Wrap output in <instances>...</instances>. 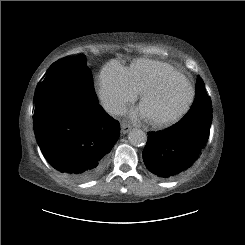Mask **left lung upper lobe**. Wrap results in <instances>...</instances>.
Segmentation results:
<instances>
[{
	"label": "left lung upper lobe",
	"mask_w": 245,
	"mask_h": 245,
	"mask_svg": "<svg viewBox=\"0 0 245 245\" xmlns=\"http://www.w3.org/2000/svg\"><path fill=\"white\" fill-rule=\"evenodd\" d=\"M199 81H201V79L198 77L197 78V83ZM205 93L207 94V92H205ZM198 96H200V95H198ZM206 100L207 99H204V101H206ZM199 101H200V99L195 97V100H194L190 110L179 121V123L188 124V123H192V122H202L204 119H206V117H204V116H209L210 117V112L211 111L210 110H206L205 108L203 109V106L201 104L197 105ZM205 105H209V103L207 102V103H205Z\"/></svg>",
	"instance_id": "5c2ea615"
}]
</instances>
